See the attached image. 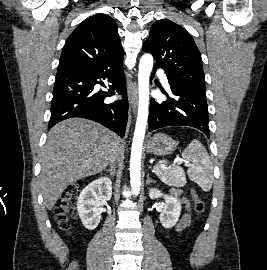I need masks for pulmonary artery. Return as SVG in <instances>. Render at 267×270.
I'll list each match as a JSON object with an SVG mask.
<instances>
[{
  "mask_svg": "<svg viewBox=\"0 0 267 270\" xmlns=\"http://www.w3.org/2000/svg\"><path fill=\"white\" fill-rule=\"evenodd\" d=\"M160 78H161V81H162L163 85L167 89H169V82H168L167 76L164 73L160 72Z\"/></svg>",
  "mask_w": 267,
  "mask_h": 270,
  "instance_id": "obj_1",
  "label": "pulmonary artery"
}]
</instances>
